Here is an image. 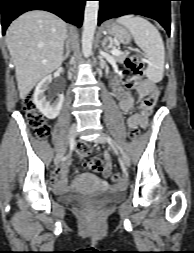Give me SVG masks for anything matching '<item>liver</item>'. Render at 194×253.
<instances>
[{"mask_svg": "<svg viewBox=\"0 0 194 253\" xmlns=\"http://www.w3.org/2000/svg\"><path fill=\"white\" fill-rule=\"evenodd\" d=\"M67 24L46 11H30L14 20L6 44L15 66L21 99L63 62Z\"/></svg>", "mask_w": 194, "mask_h": 253, "instance_id": "1", "label": "liver"}]
</instances>
